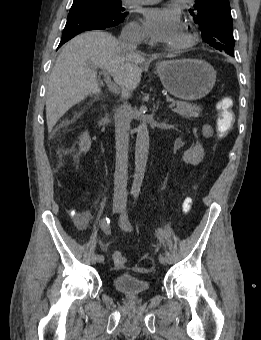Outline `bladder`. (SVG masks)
Wrapping results in <instances>:
<instances>
[{
  "mask_svg": "<svg viewBox=\"0 0 261 340\" xmlns=\"http://www.w3.org/2000/svg\"><path fill=\"white\" fill-rule=\"evenodd\" d=\"M113 286L119 293L129 297L142 296L149 292L148 282L131 274L114 277Z\"/></svg>",
  "mask_w": 261,
  "mask_h": 340,
  "instance_id": "1",
  "label": "bladder"
}]
</instances>
